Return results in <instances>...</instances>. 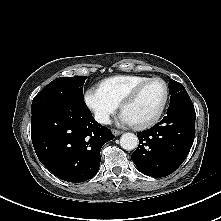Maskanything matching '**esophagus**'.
<instances>
[{
  "mask_svg": "<svg viewBox=\"0 0 221 221\" xmlns=\"http://www.w3.org/2000/svg\"><path fill=\"white\" fill-rule=\"evenodd\" d=\"M121 133H122V131L113 129V134H114L115 136H119Z\"/></svg>",
  "mask_w": 221,
  "mask_h": 221,
  "instance_id": "1",
  "label": "esophagus"
}]
</instances>
